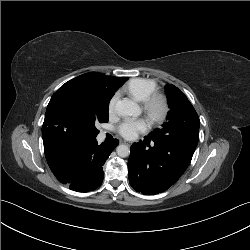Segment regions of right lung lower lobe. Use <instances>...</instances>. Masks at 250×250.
I'll return each mask as SVG.
<instances>
[{
  "mask_svg": "<svg viewBox=\"0 0 250 250\" xmlns=\"http://www.w3.org/2000/svg\"><path fill=\"white\" fill-rule=\"evenodd\" d=\"M118 144L119 141L114 139L108 144L98 145L96 137L69 140L46 155V160L62 184L77 192H88L102 184L103 165Z\"/></svg>",
  "mask_w": 250,
  "mask_h": 250,
  "instance_id": "right-lung-lower-lobe-1",
  "label": "right lung lower lobe"
}]
</instances>
